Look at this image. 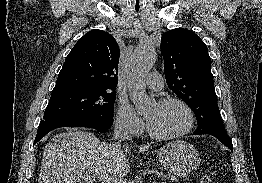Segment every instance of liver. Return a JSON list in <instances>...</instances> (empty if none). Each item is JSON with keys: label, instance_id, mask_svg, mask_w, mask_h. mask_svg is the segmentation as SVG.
<instances>
[{"label": "liver", "instance_id": "6515ba94", "mask_svg": "<svg viewBox=\"0 0 262 183\" xmlns=\"http://www.w3.org/2000/svg\"><path fill=\"white\" fill-rule=\"evenodd\" d=\"M131 147L101 142L93 133L70 129L46 145L38 183H96L100 174L123 178L130 171Z\"/></svg>", "mask_w": 262, "mask_h": 183}]
</instances>
